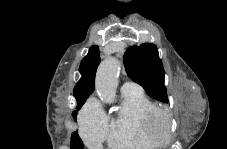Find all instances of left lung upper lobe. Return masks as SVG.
I'll return each mask as SVG.
<instances>
[{
  "label": "left lung upper lobe",
  "instance_id": "1",
  "mask_svg": "<svg viewBox=\"0 0 227 149\" xmlns=\"http://www.w3.org/2000/svg\"><path fill=\"white\" fill-rule=\"evenodd\" d=\"M124 64L128 76L140 84L152 98L169 102L164 85L163 64L155 45L144 43L131 46L124 54Z\"/></svg>",
  "mask_w": 227,
  "mask_h": 149
}]
</instances>
